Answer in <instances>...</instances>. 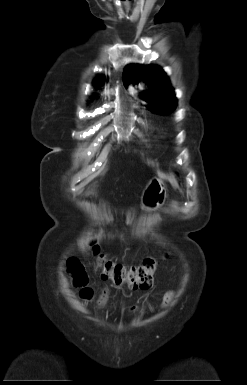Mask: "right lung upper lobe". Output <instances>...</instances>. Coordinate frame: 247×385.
<instances>
[{"mask_svg":"<svg viewBox=\"0 0 247 385\" xmlns=\"http://www.w3.org/2000/svg\"><path fill=\"white\" fill-rule=\"evenodd\" d=\"M98 83H100V79L95 80V84H98Z\"/></svg>","mask_w":247,"mask_h":385,"instance_id":"cb5924a9","label":"right lung upper lobe"}]
</instances>
